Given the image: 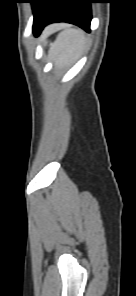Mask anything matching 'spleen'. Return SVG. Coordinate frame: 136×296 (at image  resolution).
I'll use <instances>...</instances> for the list:
<instances>
[{
    "mask_svg": "<svg viewBox=\"0 0 136 296\" xmlns=\"http://www.w3.org/2000/svg\"><path fill=\"white\" fill-rule=\"evenodd\" d=\"M86 38L79 29H67L63 31L54 46L56 64L62 66L74 61L86 47Z\"/></svg>",
    "mask_w": 136,
    "mask_h": 296,
    "instance_id": "obj_1",
    "label": "spleen"
}]
</instances>
